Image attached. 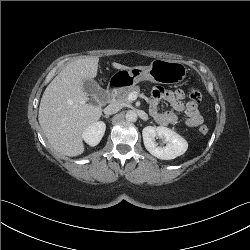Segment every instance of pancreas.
I'll return each instance as SVG.
<instances>
[{
    "mask_svg": "<svg viewBox=\"0 0 250 250\" xmlns=\"http://www.w3.org/2000/svg\"><path fill=\"white\" fill-rule=\"evenodd\" d=\"M132 92L139 93L140 87L139 86H129L126 88H119L115 91L114 98L117 102H120V103H130L131 100L128 99V96Z\"/></svg>",
    "mask_w": 250,
    "mask_h": 250,
    "instance_id": "cf45deb5",
    "label": "pancreas"
}]
</instances>
